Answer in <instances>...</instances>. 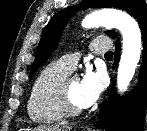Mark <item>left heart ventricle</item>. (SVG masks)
I'll return each mask as SVG.
<instances>
[{
	"mask_svg": "<svg viewBox=\"0 0 147 131\" xmlns=\"http://www.w3.org/2000/svg\"><path fill=\"white\" fill-rule=\"evenodd\" d=\"M78 92H79V79L74 78L69 82L68 93L71 102L78 107H81L78 101Z\"/></svg>",
	"mask_w": 147,
	"mask_h": 131,
	"instance_id": "obj_1",
	"label": "left heart ventricle"
}]
</instances>
